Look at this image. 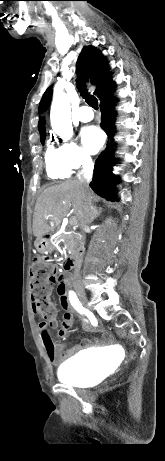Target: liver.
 <instances>
[{"instance_id":"6515ba94","label":"liver","mask_w":165,"mask_h":461,"mask_svg":"<svg viewBox=\"0 0 165 461\" xmlns=\"http://www.w3.org/2000/svg\"><path fill=\"white\" fill-rule=\"evenodd\" d=\"M69 211L81 222L85 213V194L78 180H66L41 193L33 217L34 236L42 238L53 229L52 224L60 225Z\"/></svg>"}]
</instances>
